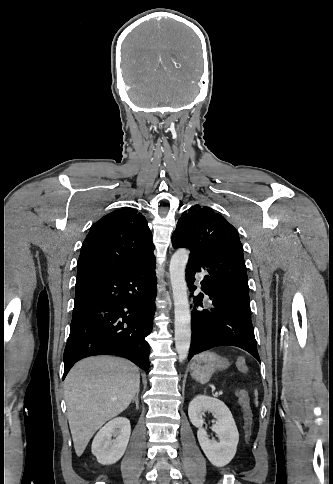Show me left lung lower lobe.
Returning a JSON list of instances; mask_svg holds the SVG:
<instances>
[{
  "label": "left lung lower lobe",
  "mask_w": 333,
  "mask_h": 484,
  "mask_svg": "<svg viewBox=\"0 0 333 484\" xmlns=\"http://www.w3.org/2000/svg\"><path fill=\"white\" fill-rule=\"evenodd\" d=\"M174 248L190 250L186 281L192 291L194 274H208L201 282L202 291L209 296L211 308L193 309L192 338L188 359L216 346H236L252 354L259 362L254 329L251 322L249 287L243 250L235 240L211 243L201 249H191L180 238ZM200 293L194 303L203 308Z\"/></svg>",
  "instance_id": "left-lung-lower-lobe-1"
}]
</instances>
